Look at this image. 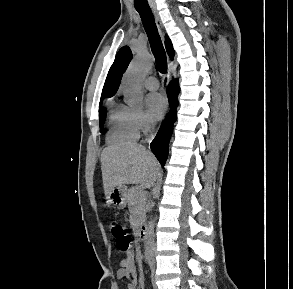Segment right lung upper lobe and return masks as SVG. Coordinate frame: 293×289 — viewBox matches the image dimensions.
Listing matches in <instances>:
<instances>
[{
  "label": "right lung upper lobe",
  "instance_id": "right-lung-upper-lobe-1",
  "mask_svg": "<svg viewBox=\"0 0 293 289\" xmlns=\"http://www.w3.org/2000/svg\"><path fill=\"white\" fill-rule=\"evenodd\" d=\"M165 47L169 57L173 59L175 51L173 49L170 39L167 36L165 37ZM131 58L132 53L129 47L124 46L119 50L115 57V61L108 72L101 95L102 100L104 99V97H111L117 92L122 74L127 68Z\"/></svg>",
  "mask_w": 293,
  "mask_h": 289
}]
</instances>
